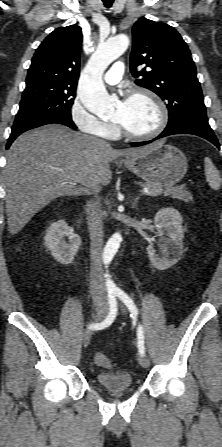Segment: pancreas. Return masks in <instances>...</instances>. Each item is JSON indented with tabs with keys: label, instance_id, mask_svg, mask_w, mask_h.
Masks as SVG:
<instances>
[{
	"label": "pancreas",
	"instance_id": "pancreas-1",
	"mask_svg": "<svg viewBox=\"0 0 222 447\" xmlns=\"http://www.w3.org/2000/svg\"><path fill=\"white\" fill-rule=\"evenodd\" d=\"M144 186L149 188L150 192L147 193V195L149 196H157L163 194L164 196H170L174 199H178L184 202L193 201L191 192H189L184 186L166 187L165 189H163L162 186L153 183H145Z\"/></svg>",
	"mask_w": 222,
	"mask_h": 447
}]
</instances>
